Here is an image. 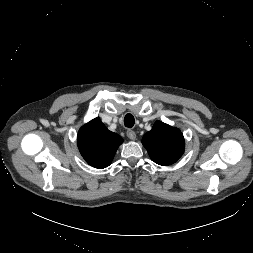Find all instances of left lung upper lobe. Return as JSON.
I'll list each match as a JSON object with an SVG mask.
<instances>
[{
    "label": "left lung upper lobe",
    "mask_w": 253,
    "mask_h": 253,
    "mask_svg": "<svg viewBox=\"0 0 253 253\" xmlns=\"http://www.w3.org/2000/svg\"><path fill=\"white\" fill-rule=\"evenodd\" d=\"M142 144L150 158L159 165L173 164L184 153V137L180 130L161 121L145 133Z\"/></svg>",
    "instance_id": "left-lung-upper-lobe-1"
}]
</instances>
